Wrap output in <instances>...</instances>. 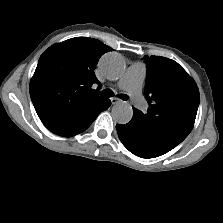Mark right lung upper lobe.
Listing matches in <instances>:
<instances>
[{
  "label": "right lung upper lobe",
  "mask_w": 223,
  "mask_h": 223,
  "mask_svg": "<svg viewBox=\"0 0 223 223\" xmlns=\"http://www.w3.org/2000/svg\"><path fill=\"white\" fill-rule=\"evenodd\" d=\"M112 51L99 40L76 37L48 48L30 82V95L43 124L53 133L79 134L104 109L106 98L92 90L94 69Z\"/></svg>",
  "instance_id": "1"
}]
</instances>
